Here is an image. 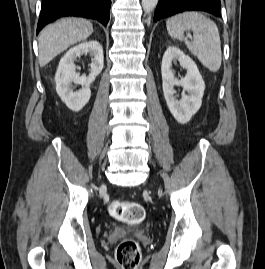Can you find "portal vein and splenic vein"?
<instances>
[{
  "mask_svg": "<svg viewBox=\"0 0 265 269\" xmlns=\"http://www.w3.org/2000/svg\"><path fill=\"white\" fill-rule=\"evenodd\" d=\"M188 37H191V35H190V34H188Z\"/></svg>",
  "mask_w": 265,
  "mask_h": 269,
  "instance_id": "obj_1",
  "label": "portal vein and splenic vein"
}]
</instances>
